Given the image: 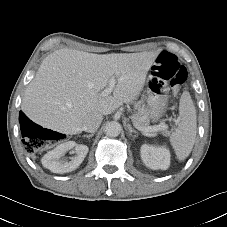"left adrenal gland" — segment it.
Instances as JSON below:
<instances>
[{
	"mask_svg": "<svg viewBox=\"0 0 227 227\" xmlns=\"http://www.w3.org/2000/svg\"><path fill=\"white\" fill-rule=\"evenodd\" d=\"M127 129L129 130V136H131V137H133V138H136L137 137V131L136 130H134L133 128H132V126L131 125H127ZM132 134H134V135H132Z\"/></svg>",
	"mask_w": 227,
	"mask_h": 227,
	"instance_id": "1",
	"label": "left adrenal gland"
}]
</instances>
